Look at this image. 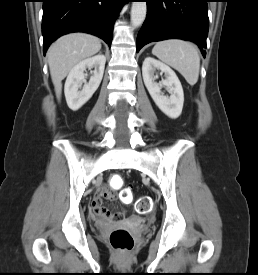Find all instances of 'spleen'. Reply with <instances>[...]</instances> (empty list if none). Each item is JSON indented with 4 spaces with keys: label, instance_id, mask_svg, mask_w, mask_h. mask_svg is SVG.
I'll use <instances>...</instances> for the list:
<instances>
[{
    "label": "spleen",
    "instance_id": "obj_1",
    "mask_svg": "<svg viewBox=\"0 0 258 275\" xmlns=\"http://www.w3.org/2000/svg\"><path fill=\"white\" fill-rule=\"evenodd\" d=\"M152 54L179 71L188 84L197 83L200 57L193 44L180 39L164 40L155 44Z\"/></svg>",
    "mask_w": 258,
    "mask_h": 275
}]
</instances>
